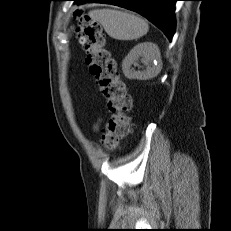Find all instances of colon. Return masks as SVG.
I'll use <instances>...</instances> for the list:
<instances>
[{
    "instance_id": "obj_1",
    "label": "colon",
    "mask_w": 231,
    "mask_h": 231,
    "mask_svg": "<svg viewBox=\"0 0 231 231\" xmlns=\"http://www.w3.org/2000/svg\"><path fill=\"white\" fill-rule=\"evenodd\" d=\"M77 31L79 41L87 53L86 64L111 112L102 144L106 149L113 150L130 130L133 100L117 71L116 61L108 48L107 36L99 23L83 18Z\"/></svg>"
}]
</instances>
